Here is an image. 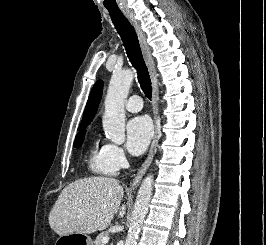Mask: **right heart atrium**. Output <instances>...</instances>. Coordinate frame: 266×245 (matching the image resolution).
I'll return each mask as SVG.
<instances>
[{"instance_id":"d8ad5b80","label":"right heart atrium","mask_w":266,"mask_h":245,"mask_svg":"<svg viewBox=\"0 0 266 245\" xmlns=\"http://www.w3.org/2000/svg\"><path fill=\"white\" fill-rule=\"evenodd\" d=\"M106 153L111 164L116 168H123L127 163V155L124 149L115 143H106Z\"/></svg>"}]
</instances>
